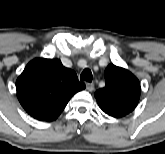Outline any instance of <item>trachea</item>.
<instances>
[{"instance_id":"trachea-1","label":"trachea","mask_w":165,"mask_h":154,"mask_svg":"<svg viewBox=\"0 0 165 154\" xmlns=\"http://www.w3.org/2000/svg\"><path fill=\"white\" fill-rule=\"evenodd\" d=\"M92 72L90 69L86 68L82 71L81 75H80V80L82 81H87V82H91L92 81Z\"/></svg>"}]
</instances>
